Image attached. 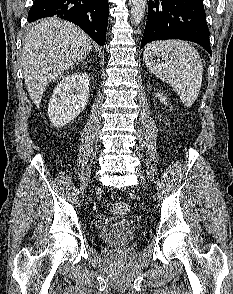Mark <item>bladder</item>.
<instances>
[{
  "instance_id": "bladder-1",
  "label": "bladder",
  "mask_w": 233,
  "mask_h": 294,
  "mask_svg": "<svg viewBox=\"0 0 233 294\" xmlns=\"http://www.w3.org/2000/svg\"><path fill=\"white\" fill-rule=\"evenodd\" d=\"M136 235V229L131 220L126 217L114 216L105 221L100 230L101 239L112 247L129 245Z\"/></svg>"
}]
</instances>
